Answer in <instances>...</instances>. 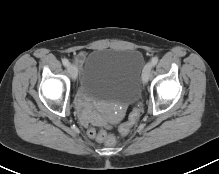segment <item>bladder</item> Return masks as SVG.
Returning <instances> with one entry per match:
<instances>
[{
	"instance_id": "1",
	"label": "bladder",
	"mask_w": 219,
	"mask_h": 174,
	"mask_svg": "<svg viewBox=\"0 0 219 174\" xmlns=\"http://www.w3.org/2000/svg\"><path fill=\"white\" fill-rule=\"evenodd\" d=\"M143 66L144 57L137 49H95L85 59L80 90L98 101L133 103L140 95Z\"/></svg>"
}]
</instances>
